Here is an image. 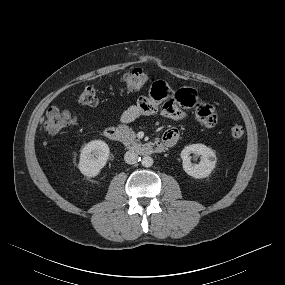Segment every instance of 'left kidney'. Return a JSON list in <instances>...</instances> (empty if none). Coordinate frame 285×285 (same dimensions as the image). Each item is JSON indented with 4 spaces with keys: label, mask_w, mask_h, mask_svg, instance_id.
I'll return each mask as SVG.
<instances>
[{
    "label": "left kidney",
    "mask_w": 285,
    "mask_h": 285,
    "mask_svg": "<svg viewBox=\"0 0 285 285\" xmlns=\"http://www.w3.org/2000/svg\"><path fill=\"white\" fill-rule=\"evenodd\" d=\"M201 155V161L198 164L191 162L190 154ZM184 171L197 179L207 177L215 168L216 155L214 151L203 144H192L186 146L181 151Z\"/></svg>",
    "instance_id": "left-kidney-1"
}]
</instances>
